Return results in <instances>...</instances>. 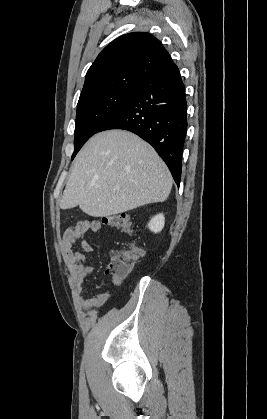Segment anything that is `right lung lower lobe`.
<instances>
[{
  "instance_id": "98d812e1",
  "label": "right lung lower lobe",
  "mask_w": 267,
  "mask_h": 419,
  "mask_svg": "<svg viewBox=\"0 0 267 419\" xmlns=\"http://www.w3.org/2000/svg\"><path fill=\"white\" fill-rule=\"evenodd\" d=\"M109 129L131 131L151 144L179 186L187 102L178 67L172 63L146 80L99 132Z\"/></svg>"
}]
</instances>
